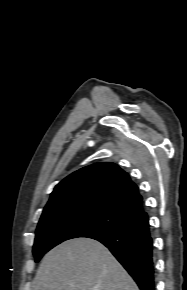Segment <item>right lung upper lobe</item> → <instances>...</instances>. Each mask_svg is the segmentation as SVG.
Returning a JSON list of instances; mask_svg holds the SVG:
<instances>
[{
    "label": "right lung upper lobe",
    "instance_id": "cb5924a9",
    "mask_svg": "<svg viewBox=\"0 0 187 290\" xmlns=\"http://www.w3.org/2000/svg\"><path fill=\"white\" fill-rule=\"evenodd\" d=\"M80 206L111 209L130 223L147 217L136 184L111 162L86 166L63 179L51 193L42 216Z\"/></svg>",
    "mask_w": 187,
    "mask_h": 290
}]
</instances>
